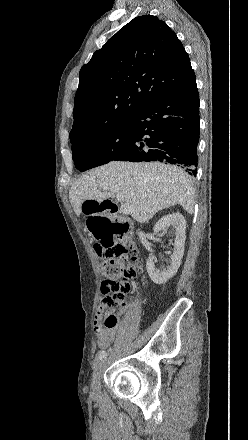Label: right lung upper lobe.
Wrapping results in <instances>:
<instances>
[{"mask_svg":"<svg viewBox=\"0 0 248 440\" xmlns=\"http://www.w3.org/2000/svg\"><path fill=\"white\" fill-rule=\"evenodd\" d=\"M194 82L188 54L168 25L156 16L136 17L81 68L70 140L101 135Z\"/></svg>","mask_w":248,"mask_h":440,"instance_id":"cb5924a9","label":"right lung upper lobe"}]
</instances>
